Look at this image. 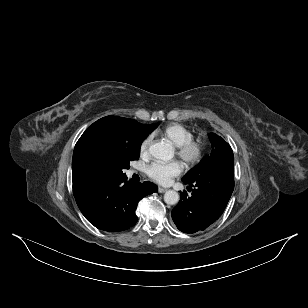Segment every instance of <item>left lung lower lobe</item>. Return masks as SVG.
Masks as SVG:
<instances>
[{"instance_id":"left-lung-lower-lobe-1","label":"left lung lower lobe","mask_w":308,"mask_h":308,"mask_svg":"<svg viewBox=\"0 0 308 308\" xmlns=\"http://www.w3.org/2000/svg\"><path fill=\"white\" fill-rule=\"evenodd\" d=\"M192 195L181 193V200L172 210V219L184 233L203 231L223 213L234 189V167L222 164L204 171L196 178L182 180Z\"/></svg>"}]
</instances>
